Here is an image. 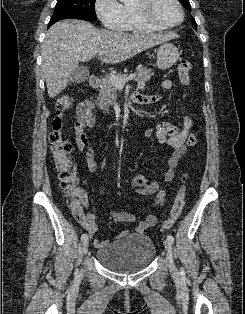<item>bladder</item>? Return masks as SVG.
<instances>
[{"label":"bladder","mask_w":245,"mask_h":314,"mask_svg":"<svg viewBox=\"0 0 245 314\" xmlns=\"http://www.w3.org/2000/svg\"><path fill=\"white\" fill-rule=\"evenodd\" d=\"M156 255L152 240L146 235H129L96 251V259L108 269L133 273L145 269Z\"/></svg>","instance_id":"31cf9c89"}]
</instances>
